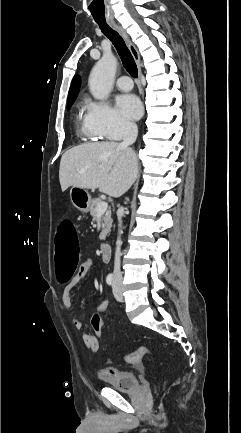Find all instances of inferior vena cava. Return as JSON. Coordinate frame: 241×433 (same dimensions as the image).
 Masks as SVG:
<instances>
[{
    "mask_svg": "<svg viewBox=\"0 0 241 433\" xmlns=\"http://www.w3.org/2000/svg\"><path fill=\"white\" fill-rule=\"evenodd\" d=\"M137 135H138V128L137 125L135 123L132 122H127L124 124V128H123V142L121 143L122 147H128L130 145H132L136 139H137ZM124 214V209L123 207L119 208L118 210V221H119V228H121L122 225V216ZM122 233V230L119 229V234ZM121 240L120 238L117 239L116 242V251H115V260H114V273H113V278L115 281H122V272L120 269V257H121Z\"/></svg>",
    "mask_w": 241,
    "mask_h": 433,
    "instance_id": "602c4592",
    "label": "inferior vena cava"
}]
</instances>
